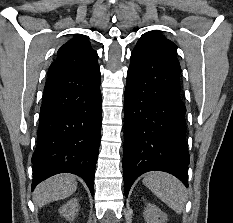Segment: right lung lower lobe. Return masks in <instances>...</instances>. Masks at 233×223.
Wrapping results in <instances>:
<instances>
[{
	"instance_id": "right-lung-lower-lobe-1",
	"label": "right lung lower lobe",
	"mask_w": 233,
	"mask_h": 223,
	"mask_svg": "<svg viewBox=\"0 0 233 223\" xmlns=\"http://www.w3.org/2000/svg\"><path fill=\"white\" fill-rule=\"evenodd\" d=\"M100 132L98 63L48 76L32 156V190L48 177L66 172L83 178L93 194Z\"/></svg>"
}]
</instances>
